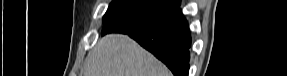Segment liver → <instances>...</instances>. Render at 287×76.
Here are the masks:
<instances>
[{
  "instance_id": "liver-1",
  "label": "liver",
  "mask_w": 287,
  "mask_h": 76,
  "mask_svg": "<svg viewBox=\"0 0 287 76\" xmlns=\"http://www.w3.org/2000/svg\"><path fill=\"white\" fill-rule=\"evenodd\" d=\"M167 67L126 35L99 40L85 60L84 76H170Z\"/></svg>"
}]
</instances>
